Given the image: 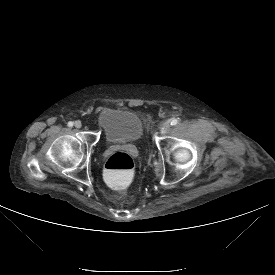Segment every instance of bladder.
<instances>
[{
  "label": "bladder",
  "mask_w": 275,
  "mask_h": 275,
  "mask_svg": "<svg viewBox=\"0 0 275 275\" xmlns=\"http://www.w3.org/2000/svg\"><path fill=\"white\" fill-rule=\"evenodd\" d=\"M97 122L110 143L135 142L144 127L140 113L126 108H103L97 115Z\"/></svg>",
  "instance_id": "bladder-1"
}]
</instances>
